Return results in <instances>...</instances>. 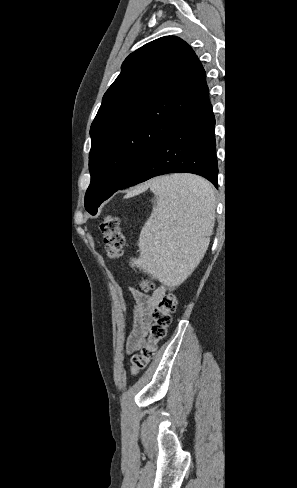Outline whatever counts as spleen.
Returning a JSON list of instances; mask_svg holds the SVG:
<instances>
[{"label": "spleen", "instance_id": "spleen-1", "mask_svg": "<svg viewBox=\"0 0 297 488\" xmlns=\"http://www.w3.org/2000/svg\"><path fill=\"white\" fill-rule=\"evenodd\" d=\"M157 204L144 224L133 262L161 282H181L196 265L201 244L214 225L215 197L197 176L173 174L150 185Z\"/></svg>", "mask_w": 297, "mask_h": 488}]
</instances>
